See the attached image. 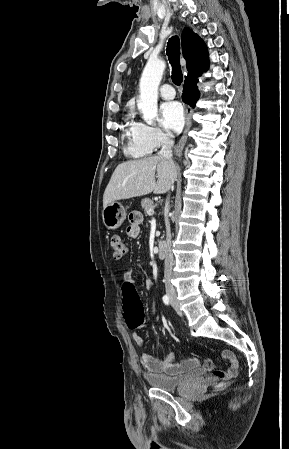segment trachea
Instances as JSON below:
<instances>
[{
	"instance_id": "trachea-1",
	"label": "trachea",
	"mask_w": 289,
	"mask_h": 449,
	"mask_svg": "<svg viewBox=\"0 0 289 449\" xmlns=\"http://www.w3.org/2000/svg\"><path fill=\"white\" fill-rule=\"evenodd\" d=\"M166 51L172 66V82L175 85H180L183 81V74L180 67V40L178 36H173L169 39Z\"/></svg>"
}]
</instances>
